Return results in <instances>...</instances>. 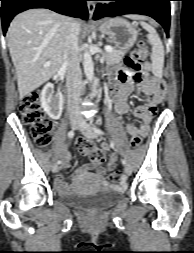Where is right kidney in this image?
Returning <instances> with one entry per match:
<instances>
[{
  "instance_id": "ca27d5eb",
  "label": "right kidney",
  "mask_w": 194,
  "mask_h": 253,
  "mask_svg": "<svg viewBox=\"0 0 194 253\" xmlns=\"http://www.w3.org/2000/svg\"><path fill=\"white\" fill-rule=\"evenodd\" d=\"M41 106L52 119H59L63 110V96L61 92L54 91V85L47 83L41 92Z\"/></svg>"
}]
</instances>
